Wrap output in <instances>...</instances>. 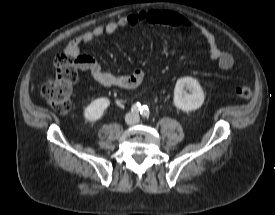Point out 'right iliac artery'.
<instances>
[{"label": "right iliac artery", "instance_id": "obj_1", "mask_svg": "<svg viewBox=\"0 0 275 215\" xmlns=\"http://www.w3.org/2000/svg\"><path fill=\"white\" fill-rule=\"evenodd\" d=\"M141 104L140 103H135L134 105H132V107H131V111L133 112V113H138V112H140L141 111Z\"/></svg>", "mask_w": 275, "mask_h": 215}]
</instances>
